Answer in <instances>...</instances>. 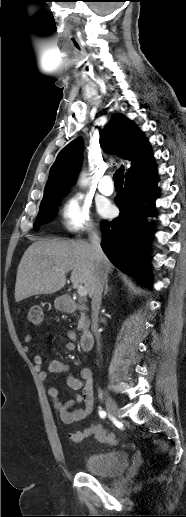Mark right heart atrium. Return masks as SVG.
Here are the masks:
<instances>
[{"mask_svg":"<svg viewBox=\"0 0 186 517\" xmlns=\"http://www.w3.org/2000/svg\"><path fill=\"white\" fill-rule=\"evenodd\" d=\"M60 217L69 233L90 232L94 228L91 206L80 194L71 195L62 203Z\"/></svg>","mask_w":186,"mask_h":517,"instance_id":"d8ad5b80","label":"right heart atrium"}]
</instances>
